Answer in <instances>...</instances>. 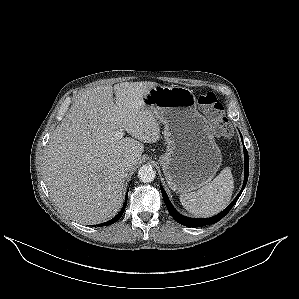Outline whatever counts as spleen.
Instances as JSON below:
<instances>
[{"mask_svg":"<svg viewBox=\"0 0 299 299\" xmlns=\"http://www.w3.org/2000/svg\"><path fill=\"white\" fill-rule=\"evenodd\" d=\"M234 179L231 169L226 167L213 181L196 192L179 196L182 206L197 217H211L221 212L231 200Z\"/></svg>","mask_w":299,"mask_h":299,"instance_id":"spleen-1","label":"spleen"}]
</instances>
